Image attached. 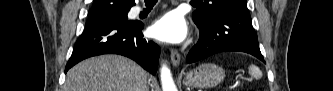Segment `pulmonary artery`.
I'll use <instances>...</instances> for the list:
<instances>
[{"mask_svg":"<svg viewBox=\"0 0 333 91\" xmlns=\"http://www.w3.org/2000/svg\"><path fill=\"white\" fill-rule=\"evenodd\" d=\"M142 10V8H138L137 10H136V12H140Z\"/></svg>","mask_w":333,"mask_h":91,"instance_id":"obj_1","label":"pulmonary artery"}]
</instances>
